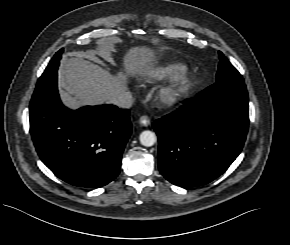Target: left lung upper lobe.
<instances>
[{
    "mask_svg": "<svg viewBox=\"0 0 290 245\" xmlns=\"http://www.w3.org/2000/svg\"><path fill=\"white\" fill-rule=\"evenodd\" d=\"M220 63L218 73L216 75V83L220 82H243L242 75L236 68L226 59V57L219 52Z\"/></svg>",
    "mask_w": 290,
    "mask_h": 245,
    "instance_id": "obj_1",
    "label": "left lung upper lobe"
}]
</instances>
